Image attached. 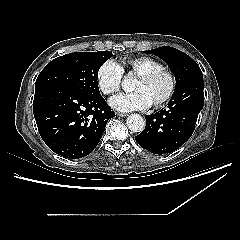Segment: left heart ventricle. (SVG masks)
<instances>
[{"mask_svg":"<svg viewBox=\"0 0 240 240\" xmlns=\"http://www.w3.org/2000/svg\"><path fill=\"white\" fill-rule=\"evenodd\" d=\"M166 88V81L160 77L152 81H144L140 78H136L133 86V90L144 93L149 102H155L159 99L165 93Z\"/></svg>","mask_w":240,"mask_h":240,"instance_id":"left-heart-ventricle-1","label":"left heart ventricle"}]
</instances>
